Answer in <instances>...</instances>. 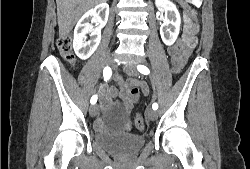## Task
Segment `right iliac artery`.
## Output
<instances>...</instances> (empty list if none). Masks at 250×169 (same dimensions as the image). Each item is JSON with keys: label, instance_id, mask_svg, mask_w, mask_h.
<instances>
[{"label": "right iliac artery", "instance_id": "82829eb1", "mask_svg": "<svg viewBox=\"0 0 250 169\" xmlns=\"http://www.w3.org/2000/svg\"><path fill=\"white\" fill-rule=\"evenodd\" d=\"M112 75V70L110 67H105L103 70V76H104V80L107 81L111 78ZM91 104H95L97 102V95L92 96L91 100H90Z\"/></svg>", "mask_w": 250, "mask_h": 169}]
</instances>
